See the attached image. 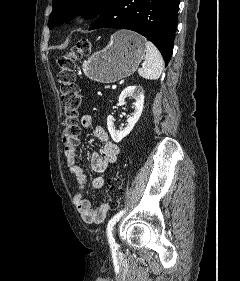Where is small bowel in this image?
Listing matches in <instances>:
<instances>
[{
    "instance_id": "1",
    "label": "small bowel",
    "mask_w": 240,
    "mask_h": 281,
    "mask_svg": "<svg viewBox=\"0 0 240 281\" xmlns=\"http://www.w3.org/2000/svg\"><path fill=\"white\" fill-rule=\"evenodd\" d=\"M80 123L84 128L93 127L95 136L102 142L99 153H93L90 159L91 168L96 173L92 180L94 189L101 190L105 185V174L110 166L117 160L119 147L110 140L107 131L101 126H93V118L90 114L81 116ZM70 173L76 180L77 190L74 193V204L76 205L83 220L88 224H99L104 221L109 210L108 204L103 203L94 208L91 202L84 197V189L87 177L83 169L76 162L75 153H65Z\"/></svg>"
}]
</instances>
